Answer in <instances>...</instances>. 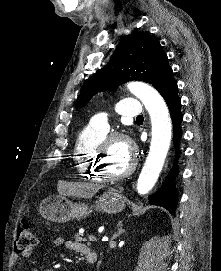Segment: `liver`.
<instances>
[{
	"instance_id": "1",
	"label": "liver",
	"mask_w": 221,
	"mask_h": 271,
	"mask_svg": "<svg viewBox=\"0 0 221 271\" xmlns=\"http://www.w3.org/2000/svg\"><path fill=\"white\" fill-rule=\"evenodd\" d=\"M70 195H80V197H88V195H93L96 189H101V187H95V185H87V183H78V185H69Z\"/></svg>"
}]
</instances>
